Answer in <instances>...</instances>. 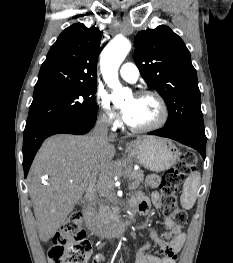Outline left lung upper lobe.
Returning <instances> with one entry per match:
<instances>
[{
    "label": "left lung upper lobe",
    "mask_w": 233,
    "mask_h": 263,
    "mask_svg": "<svg viewBox=\"0 0 233 263\" xmlns=\"http://www.w3.org/2000/svg\"><path fill=\"white\" fill-rule=\"evenodd\" d=\"M134 60L147 84L167 104L164 127L205 134L196 70L182 39L165 25L141 31L135 37Z\"/></svg>",
    "instance_id": "5c2ea615"
}]
</instances>
